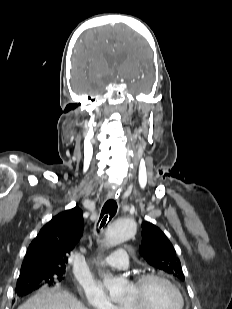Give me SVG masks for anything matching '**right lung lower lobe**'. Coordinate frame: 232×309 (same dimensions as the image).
Returning a JSON list of instances; mask_svg holds the SVG:
<instances>
[{
	"instance_id": "obj_1",
	"label": "right lung lower lobe",
	"mask_w": 232,
	"mask_h": 309,
	"mask_svg": "<svg viewBox=\"0 0 232 309\" xmlns=\"http://www.w3.org/2000/svg\"><path fill=\"white\" fill-rule=\"evenodd\" d=\"M39 288V286H32V285H24L21 287H17L15 289V293L18 297L25 296L29 293H31L33 290Z\"/></svg>"
}]
</instances>
